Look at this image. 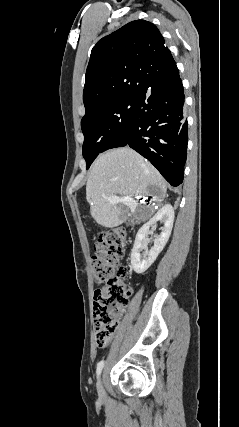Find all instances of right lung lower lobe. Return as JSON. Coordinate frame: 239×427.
<instances>
[{"label": "right lung lower lobe", "instance_id": "1", "mask_svg": "<svg viewBox=\"0 0 239 427\" xmlns=\"http://www.w3.org/2000/svg\"><path fill=\"white\" fill-rule=\"evenodd\" d=\"M184 91L179 74L156 83L136 97L128 140L172 185L183 181L188 143Z\"/></svg>", "mask_w": 239, "mask_h": 427}]
</instances>
